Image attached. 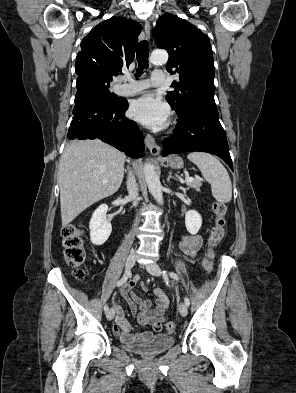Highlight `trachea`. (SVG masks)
I'll return each instance as SVG.
<instances>
[{"label":"trachea","mask_w":296,"mask_h":393,"mask_svg":"<svg viewBox=\"0 0 296 393\" xmlns=\"http://www.w3.org/2000/svg\"><path fill=\"white\" fill-rule=\"evenodd\" d=\"M137 61L138 69L136 71V76H140L144 69L148 68V56H149V44L146 40L141 41L137 48Z\"/></svg>","instance_id":"obj_1"}]
</instances>
